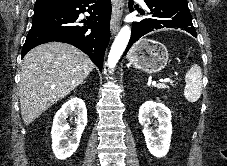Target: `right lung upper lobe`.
Listing matches in <instances>:
<instances>
[{
    "mask_svg": "<svg viewBox=\"0 0 227 166\" xmlns=\"http://www.w3.org/2000/svg\"><path fill=\"white\" fill-rule=\"evenodd\" d=\"M74 0H36L35 6H64L71 3Z\"/></svg>",
    "mask_w": 227,
    "mask_h": 166,
    "instance_id": "1",
    "label": "right lung upper lobe"
}]
</instances>
